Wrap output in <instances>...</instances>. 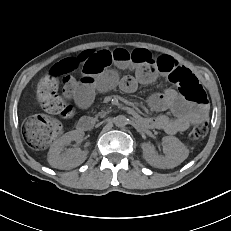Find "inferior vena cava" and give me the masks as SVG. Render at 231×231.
<instances>
[{"label":"inferior vena cava","instance_id":"inferior-vena-cava-1","mask_svg":"<svg viewBox=\"0 0 231 231\" xmlns=\"http://www.w3.org/2000/svg\"><path fill=\"white\" fill-rule=\"evenodd\" d=\"M101 126H105V121H99V123L94 124V129H99Z\"/></svg>","mask_w":231,"mask_h":231}]
</instances>
